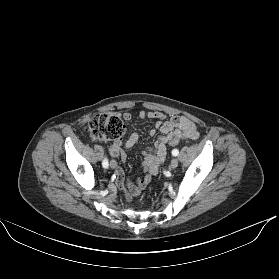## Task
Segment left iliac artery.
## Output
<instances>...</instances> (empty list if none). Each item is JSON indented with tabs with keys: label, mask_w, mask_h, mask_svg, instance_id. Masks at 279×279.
Segmentation results:
<instances>
[{
	"label": "left iliac artery",
	"mask_w": 279,
	"mask_h": 279,
	"mask_svg": "<svg viewBox=\"0 0 279 279\" xmlns=\"http://www.w3.org/2000/svg\"><path fill=\"white\" fill-rule=\"evenodd\" d=\"M178 154H179L178 149H173V150H172V155H173V156H177Z\"/></svg>",
	"instance_id": "44dca946"
}]
</instances>
